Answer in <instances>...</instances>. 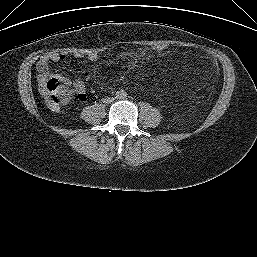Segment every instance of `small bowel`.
<instances>
[{"label": "small bowel", "instance_id": "1", "mask_svg": "<svg viewBox=\"0 0 257 257\" xmlns=\"http://www.w3.org/2000/svg\"><path fill=\"white\" fill-rule=\"evenodd\" d=\"M66 59V55L63 53H55L50 52L41 56L37 63V71H38V82L39 84H44L46 80H48L52 74L50 72V63L59 62ZM90 61H95L97 59L96 54H90L88 56ZM61 83L73 89V91L78 95L81 101H85L87 99L85 93V85L83 81L80 79H70L63 75H55Z\"/></svg>", "mask_w": 257, "mask_h": 257}]
</instances>
